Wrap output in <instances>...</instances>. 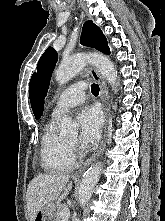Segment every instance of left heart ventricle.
I'll use <instances>...</instances> for the list:
<instances>
[{
	"instance_id": "left-heart-ventricle-1",
	"label": "left heart ventricle",
	"mask_w": 165,
	"mask_h": 221,
	"mask_svg": "<svg viewBox=\"0 0 165 221\" xmlns=\"http://www.w3.org/2000/svg\"><path fill=\"white\" fill-rule=\"evenodd\" d=\"M68 140L71 141V142H76L77 137L76 136H71V137L68 138Z\"/></svg>"
}]
</instances>
